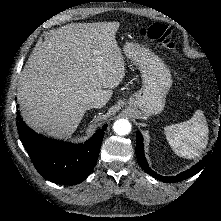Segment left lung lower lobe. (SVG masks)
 <instances>
[{"instance_id":"left-lung-lower-lobe-1","label":"left lung lower lobe","mask_w":221,"mask_h":221,"mask_svg":"<svg viewBox=\"0 0 221 221\" xmlns=\"http://www.w3.org/2000/svg\"><path fill=\"white\" fill-rule=\"evenodd\" d=\"M220 125H221V117H220ZM220 130H221V126L219 129L218 138H217L218 142L221 141V131ZM136 157H137L139 165L141 166V168L145 172H147L148 174H150L154 178H156L160 181L166 182V183L181 181V180L187 179V178L195 175L196 173H198L199 171H201L203 169V167L205 166L207 159H208V157L206 156L205 158H203V160H201L199 163L194 165L191 169L184 171L176 176H172V177L161 176V175L155 173L148 166V163H147L145 155H144L143 137H142L140 131H138L136 133Z\"/></svg>"}]
</instances>
